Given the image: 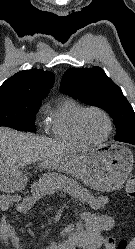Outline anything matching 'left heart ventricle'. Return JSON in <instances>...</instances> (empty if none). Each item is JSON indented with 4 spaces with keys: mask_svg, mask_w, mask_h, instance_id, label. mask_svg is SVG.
Segmentation results:
<instances>
[{
    "mask_svg": "<svg viewBox=\"0 0 135 249\" xmlns=\"http://www.w3.org/2000/svg\"><path fill=\"white\" fill-rule=\"evenodd\" d=\"M83 127L86 135L93 140L102 139L108 132L106 119L96 111L86 114L83 119Z\"/></svg>",
    "mask_w": 135,
    "mask_h": 249,
    "instance_id": "left-heart-ventricle-1",
    "label": "left heart ventricle"
}]
</instances>
